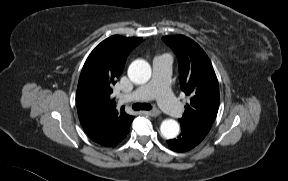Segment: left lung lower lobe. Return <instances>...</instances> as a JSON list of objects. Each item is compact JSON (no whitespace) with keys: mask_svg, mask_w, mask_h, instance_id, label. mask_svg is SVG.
<instances>
[{"mask_svg":"<svg viewBox=\"0 0 288 181\" xmlns=\"http://www.w3.org/2000/svg\"><path fill=\"white\" fill-rule=\"evenodd\" d=\"M181 124V134L176 139L168 140L169 147L176 152H186L197 146L210 129L191 124Z\"/></svg>","mask_w":288,"mask_h":181,"instance_id":"obj_1","label":"left lung lower lobe"}]
</instances>
